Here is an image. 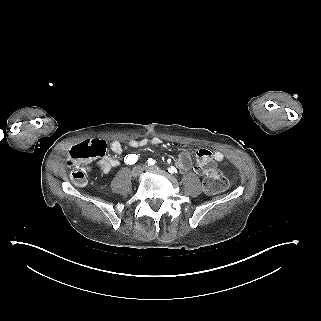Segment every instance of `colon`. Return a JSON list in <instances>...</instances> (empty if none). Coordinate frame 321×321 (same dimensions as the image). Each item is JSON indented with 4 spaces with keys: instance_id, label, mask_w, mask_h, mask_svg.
Listing matches in <instances>:
<instances>
[{
    "instance_id": "obj_1",
    "label": "colon",
    "mask_w": 321,
    "mask_h": 321,
    "mask_svg": "<svg viewBox=\"0 0 321 321\" xmlns=\"http://www.w3.org/2000/svg\"><path fill=\"white\" fill-rule=\"evenodd\" d=\"M103 153L102 146L95 143H83L74 146L69 151L70 159H81L100 156ZM71 164L70 161L67 162ZM71 179L77 186H84L86 176L82 171L74 170L71 173ZM229 185V180L221 170L211 171L203 181L204 190L209 194H215L225 190Z\"/></svg>"
}]
</instances>
